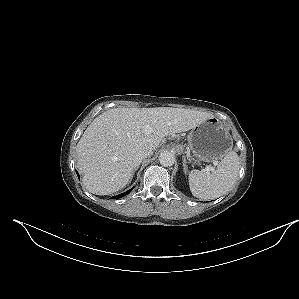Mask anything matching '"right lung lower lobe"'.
Here are the masks:
<instances>
[{
	"mask_svg": "<svg viewBox=\"0 0 299 299\" xmlns=\"http://www.w3.org/2000/svg\"><path fill=\"white\" fill-rule=\"evenodd\" d=\"M78 177H79V175H78ZM132 189H133V188H132ZM132 189H130V190L127 191L126 193H123V194H120V195H117V196H113L112 198H116V199L121 198V197L125 196L126 194H128Z\"/></svg>",
	"mask_w": 299,
	"mask_h": 299,
	"instance_id": "1",
	"label": "right lung lower lobe"
}]
</instances>
